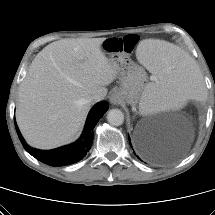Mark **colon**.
Here are the masks:
<instances>
[{
    "label": "colon",
    "mask_w": 215,
    "mask_h": 215,
    "mask_svg": "<svg viewBox=\"0 0 215 215\" xmlns=\"http://www.w3.org/2000/svg\"><path fill=\"white\" fill-rule=\"evenodd\" d=\"M138 36L134 34L126 35L122 38H108L103 46L106 52L115 53L118 50L130 53L138 43Z\"/></svg>",
    "instance_id": "colon-1"
}]
</instances>
